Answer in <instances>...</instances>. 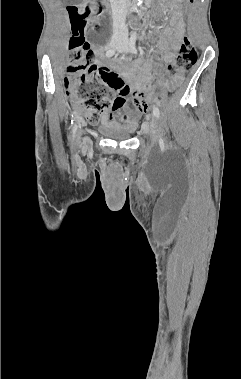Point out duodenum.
I'll list each match as a JSON object with an SVG mask.
<instances>
[{
    "label": "duodenum",
    "instance_id": "1",
    "mask_svg": "<svg viewBox=\"0 0 241 379\" xmlns=\"http://www.w3.org/2000/svg\"><path fill=\"white\" fill-rule=\"evenodd\" d=\"M103 2L104 5H107L109 0H101Z\"/></svg>",
    "mask_w": 241,
    "mask_h": 379
}]
</instances>
